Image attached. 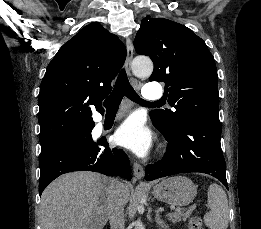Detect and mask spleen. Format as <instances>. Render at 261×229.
Masks as SVG:
<instances>
[{
  "label": "spleen",
  "instance_id": "spleen-1",
  "mask_svg": "<svg viewBox=\"0 0 261 229\" xmlns=\"http://www.w3.org/2000/svg\"><path fill=\"white\" fill-rule=\"evenodd\" d=\"M208 204L211 209L206 213L204 223L209 229H228L229 209L225 191L220 185H210L208 189Z\"/></svg>",
  "mask_w": 261,
  "mask_h": 229
}]
</instances>
